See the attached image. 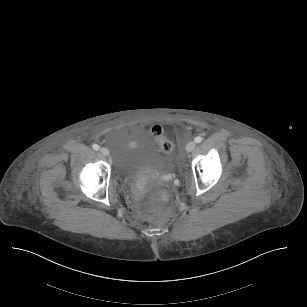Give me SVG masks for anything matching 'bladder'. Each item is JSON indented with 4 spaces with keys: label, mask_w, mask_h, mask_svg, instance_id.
Wrapping results in <instances>:
<instances>
[{
    "label": "bladder",
    "mask_w": 307,
    "mask_h": 307,
    "mask_svg": "<svg viewBox=\"0 0 307 307\" xmlns=\"http://www.w3.org/2000/svg\"><path fill=\"white\" fill-rule=\"evenodd\" d=\"M169 161V156L152 147L133 146L121 156L120 169L125 177L134 178L147 172L155 165Z\"/></svg>",
    "instance_id": "obj_1"
}]
</instances>
